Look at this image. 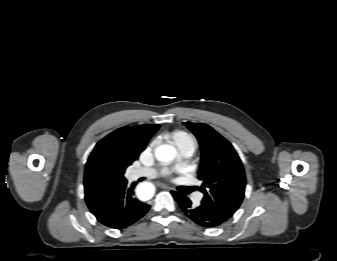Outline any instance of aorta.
I'll use <instances>...</instances> for the list:
<instances>
[{
  "label": "aorta",
  "mask_w": 337,
  "mask_h": 261,
  "mask_svg": "<svg viewBox=\"0 0 337 261\" xmlns=\"http://www.w3.org/2000/svg\"><path fill=\"white\" fill-rule=\"evenodd\" d=\"M156 159L164 164L172 162L177 156V150L174 146L162 144L155 148ZM155 187L150 182H142L136 187V194L141 200H148L153 197Z\"/></svg>",
  "instance_id": "aorta-1"
}]
</instances>
